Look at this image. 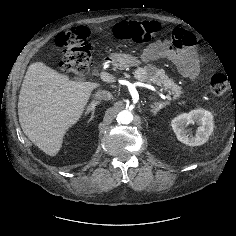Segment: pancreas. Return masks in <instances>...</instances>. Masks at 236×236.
Returning a JSON list of instances; mask_svg holds the SVG:
<instances>
[{"mask_svg":"<svg viewBox=\"0 0 236 236\" xmlns=\"http://www.w3.org/2000/svg\"><path fill=\"white\" fill-rule=\"evenodd\" d=\"M134 77L141 82H147L162 87L169 94L174 95V99H179L182 94V87L177 85L163 69H158L153 64H148L143 68L134 71Z\"/></svg>","mask_w":236,"mask_h":236,"instance_id":"pancreas-1","label":"pancreas"}]
</instances>
